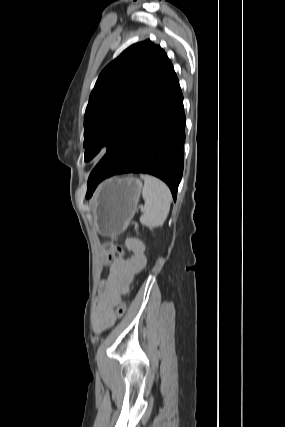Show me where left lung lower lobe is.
Wrapping results in <instances>:
<instances>
[{"label":"left lung lower lobe","mask_w":285,"mask_h":427,"mask_svg":"<svg viewBox=\"0 0 285 427\" xmlns=\"http://www.w3.org/2000/svg\"><path fill=\"white\" fill-rule=\"evenodd\" d=\"M184 141L183 95L171 64L146 107L91 172L86 198L103 179L133 172L162 179L176 200Z\"/></svg>","instance_id":"left-lung-lower-lobe-1"}]
</instances>
